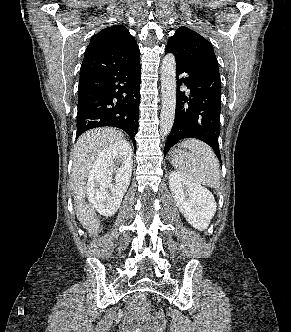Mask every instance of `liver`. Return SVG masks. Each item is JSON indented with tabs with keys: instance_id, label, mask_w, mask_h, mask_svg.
Returning <instances> with one entry per match:
<instances>
[{
	"instance_id": "6515ba94",
	"label": "liver",
	"mask_w": 291,
	"mask_h": 332,
	"mask_svg": "<svg viewBox=\"0 0 291 332\" xmlns=\"http://www.w3.org/2000/svg\"><path fill=\"white\" fill-rule=\"evenodd\" d=\"M123 137V134L114 128H97L82 134L74 146L71 188L77 219L90 235H96L100 225L93 209L85 202L86 181L100 153L110 145L124 141Z\"/></svg>"
}]
</instances>
